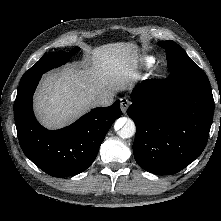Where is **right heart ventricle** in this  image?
Instances as JSON below:
<instances>
[{
	"mask_svg": "<svg viewBox=\"0 0 221 221\" xmlns=\"http://www.w3.org/2000/svg\"><path fill=\"white\" fill-rule=\"evenodd\" d=\"M152 63H153V59H151V58H147V59H146V65H147V66L152 65Z\"/></svg>",
	"mask_w": 221,
	"mask_h": 221,
	"instance_id": "e07e8e85",
	"label": "right heart ventricle"
}]
</instances>
